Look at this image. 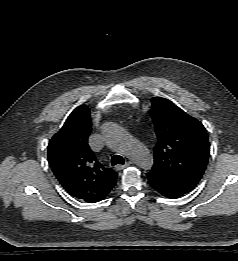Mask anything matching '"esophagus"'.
Wrapping results in <instances>:
<instances>
[{
	"mask_svg": "<svg viewBox=\"0 0 238 261\" xmlns=\"http://www.w3.org/2000/svg\"><path fill=\"white\" fill-rule=\"evenodd\" d=\"M131 164H132V162L128 161V162H126V163L123 164V165H117V166H115V169H116L117 171H120V170H123V169L127 168V167L130 166Z\"/></svg>",
	"mask_w": 238,
	"mask_h": 261,
	"instance_id": "obj_1",
	"label": "esophagus"
}]
</instances>
